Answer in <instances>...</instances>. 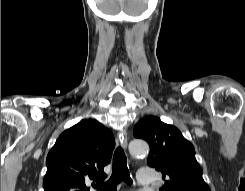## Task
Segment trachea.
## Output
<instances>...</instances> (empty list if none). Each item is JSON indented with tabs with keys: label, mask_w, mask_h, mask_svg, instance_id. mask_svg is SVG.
I'll use <instances>...</instances> for the list:
<instances>
[{
	"label": "trachea",
	"mask_w": 245,
	"mask_h": 191,
	"mask_svg": "<svg viewBox=\"0 0 245 191\" xmlns=\"http://www.w3.org/2000/svg\"><path fill=\"white\" fill-rule=\"evenodd\" d=\"M121 181L127 184L132 183L127 167V158L121 147H118L113 156V171L110 179L105 183L96 184V189L99 191H116L117 186Z\"/></svg>",
	"instance_id": "1"
}]
</instances>
